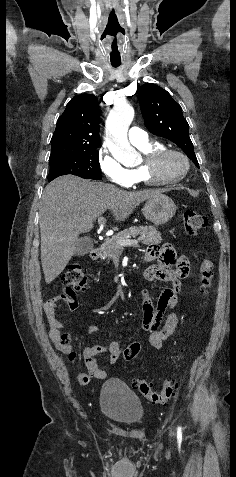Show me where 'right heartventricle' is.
<instances>
[{
  "mask_svg": "<svg viewBox=\"0 0 236 477\" xmlns=\"http://www.w3.org/2000/svg\"><path fill=\"white\" fill-rule=\"evenodd\" d=\"M162 145L154 142V141H148L145 144L138 145L137 148L142 152L144 156L150 154L156 149L161 148ZM130 178H131V186L137 185V184H150L151 182L146 178L141 166H138L136 168L128 169Z\"/></svg>",
  "mask_w": 236,
  "mask_h": 477,
  "instance_id": "obj_1",
  "label": "right heart ventricle"
}]
</instances>
